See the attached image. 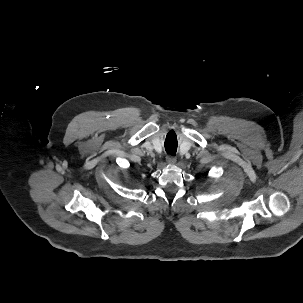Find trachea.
Wrapping results in <instances>:
<instances>
[{
	"instance_id": "obj_1",
	"label": "trachea",
	"mask_w": 303,
	"mask_h": 303,
	"mask_svg": "<svg viewBox=\"0 0 303 303\" xmlns=\"http://www.w3.org/2000/svg\"><path fill=\"white\" fill-rule=\"evenodd\" d=\"M165 150L170 155H175L177 151V143L173 141H165Z\"/></svg>"
}]
</instances>
